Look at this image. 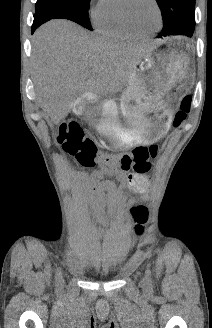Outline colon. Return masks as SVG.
<instances>
[{
	"mask_svg": "<svg viewBox=\"0 0 212 328\" xmlns=\"http://www.w3.org/2000/svg\"><path fill=\"white\" fill-rule=\"evenodd\" d=\"M192 97L183 98L180 110L174 118V127H179L191 109ZM57 142L65 152L75 157L78 163L84 167H93L98 173H112L113 170H134L145 173L150 169V160L156 158L159 146H139L131 153H105L98 143L87 136L83 127L75 121L63 123L58 129ZM135 217L143 219L145 212L138 207L132 210ZM137 234H142L143 226H136Z\"/></svg>",
	"mask_w": 212,
	"mask_h": 328,
	"instance_id": "colon-1",
	"label": "colon"
}]
</instances>
